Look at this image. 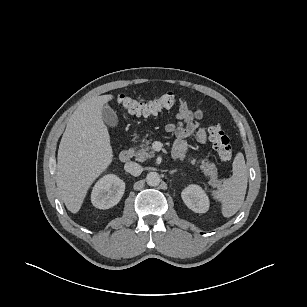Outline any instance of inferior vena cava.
Returning a JSON list of instances; mask_svg holds the SVG:
<instances>
[{"label": "inferior vena cava", "mask_w": 307, "mask_h": 307, "mask_svg": "<svg viewBox=\"0 0 307 307\" xmlns=\"http://www.w3.org/2000/svg\"><path fill=\"white\" fill-rule=\"evenodd\" d=\"M124 169L125 171L129 172L133 176H139L143 171V168L138 163H135L132 161L127 162L124 165Z\"/></svg>", "instance_id": "1"}]
</instances>
